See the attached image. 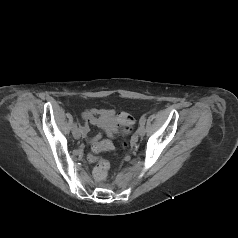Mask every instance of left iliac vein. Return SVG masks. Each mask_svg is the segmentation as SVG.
<instances>
[{
  "label": "left iliac vein",
  "mask_w": 238,
  "mask_h": 238,
  "mask_svg": "<svg viewBox=\"0 0 238 238\" xmlns=\"http://www.w3.org/2000/svg\"><path fill=\"white\" fill-rule=\"evenodd\" d=\"M137 133L139 136H144L145 134V128H144V125H140L138 130H137Z\"/></svg>",
  "instance_id": "4c4485c4"
}]
</instances>
